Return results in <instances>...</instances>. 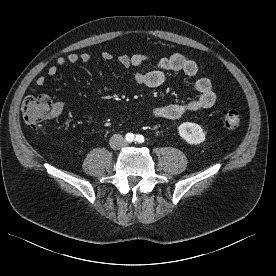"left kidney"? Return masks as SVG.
Wrapping results in <instances>:
<instances>
[{
	"label": "left kidney",
	"instance_id": "1",
	"mask_svg": "<svg viewBox=\"0 0 276 276\" xmlns=\"http://www.w3.org/2000/svg\"><path fill=\"white\" fill-rule=\"evenodd\" d=\"M179 135L188 144L197 145L205 141L202 127L196 123L184 122L178 127Z\"/></svg>",
	"mask_w": 276,
	"mask_h": 276
}]
</instances>
